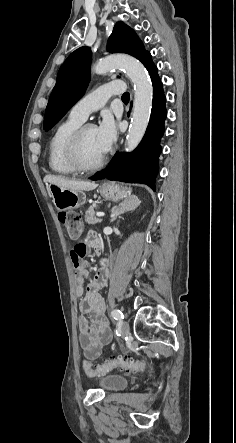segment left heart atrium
<instances>
[{"mask_svg": "<svg viewBox=\"0 0 236 443\" xmlns=\"http://www.w3.org/2000/svg\"><path fill=\"white\" fill-rule=\"evenodd\" d=\"M97 135L103 151L106 153L117 137L116 124L113 117L106 113L103 115L101 122L96 127Z\"/></svg>", "mask_w": 236, "mask_h": 443, "instance_id": "left-heart-atrium-1", "label": "left heart atrium"}]
</instances>
